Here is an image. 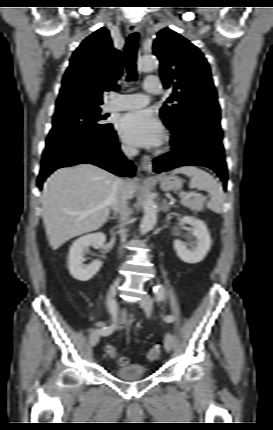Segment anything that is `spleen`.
<instances>
[{"mask_svg":"<svg viewBox=\"0 0 273 430\" xmlns=\"http://www.w3.org/2000/svg\"><path fill=\"white\" fill-rule=\"evenodd\" d=\"M172 174H184L191 178L189 187L205 190L210 194L207 207L215 213H222L224 209V196L222 186L206 171L186 165L172 171Z\"/></svg>","mask_w":273,"mask_h":430,"instance_id":"1","label":"spleen"}]
</instances>
